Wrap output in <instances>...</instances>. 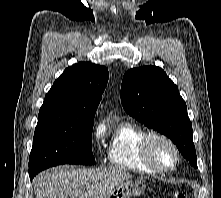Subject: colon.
Segmentation results:
<instances>
[{
  "label": "colon",
  "instance_id": "colon-1",
  "mask_svg": "<svg viewBox=\"0 0 221 198\" xmlns=\"http://www.w3.org/2000/svg\"><path fill=\"white\" fill-rule=\"evenodd\" d=\"M172 198H186V197L182 192L178 191L173 194Z\"/></svg>",
  "mask_w": 221,
  "mask_h": 198
}]
</instances>
